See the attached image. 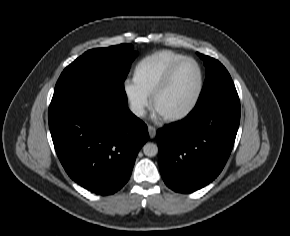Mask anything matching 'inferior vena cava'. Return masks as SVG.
Listing matches in <instances>:
<instances>
[{"label":"inferior vena cava","instance_id":"inferior-vena-cava-1","mask_svg":"<svg viewBox=\"0 0 290 236\" xmlns=\"http://www.w3.org/2000/svg\"><path fill=\"white\" fill-rule=\"evenodd\" d=\"M131 111L138 117H141L145 114V110L141 105H132Z\"/></svg>","mask_w":290,"mask_h":236}]
</instances>
